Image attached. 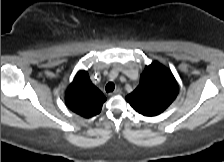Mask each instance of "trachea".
Segmentation results:
<instances>
[{
    "label": "trachea",
    "mask_w": 224,
    "mask_h": 162,
    "mask_svg": "<svg viewBox=\"0 0 224 162\" xmlns=\"http://www.w3.org/2000/svg\"><path fill=\"white\" fill-rule=\"evenodd\" d=\"M114 89H115V85L113 82H109L105 87V90L107 93L112 92Z\"/></svg>",
    "instance_id": "trachea-1"
}]
</instances>
